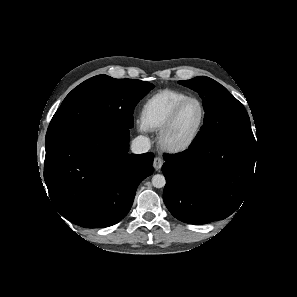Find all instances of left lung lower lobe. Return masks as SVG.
Listing matches in <instances>:
<instances>
[{"mask_svg": "<svg viewBox=\"0 0 297 297\" xmlns=\"http://www.w3.org/2000/svg\"><path fill=\"white\" fill-rule=\"evenodd\" d=\"M164 159L166 207L182 222L206 224L230 216L245 200L254 176L256 147L217 139L190 145Z\"/></svg>", "mask_w": 297, "mask_h": 297, "instance_id": "obj_1", "label": "left lung lower lobe"}]
</instances>
